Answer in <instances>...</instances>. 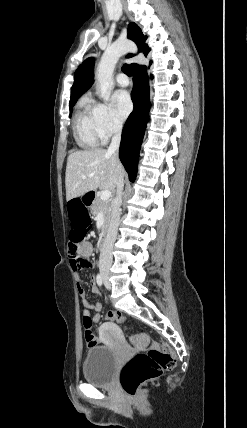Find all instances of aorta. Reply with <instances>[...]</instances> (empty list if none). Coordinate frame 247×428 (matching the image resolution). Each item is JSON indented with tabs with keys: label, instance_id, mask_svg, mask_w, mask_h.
<instances>
[{
	"label": "aorta",
	"instance_id": "aorta-1",
	"mask_svg": "<svg viewBox=\"0 0 247 428\" xmlns=\"http://www.w3.org/2000/svg\"><path fill=\"white\" fill-rule=\"evenodd\" d=\"M121 55L122 52L120 50H118L114 46H111L106 49V51L101 57V60L96 70V78L98 83L99 97L102 99L107 98V93L111 84L112 75L116 63L118 62Z\"/></svg>",
	"mask_w": 247,
	"mask_h": 428
}]
</instances>
